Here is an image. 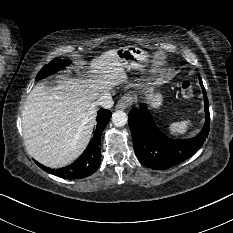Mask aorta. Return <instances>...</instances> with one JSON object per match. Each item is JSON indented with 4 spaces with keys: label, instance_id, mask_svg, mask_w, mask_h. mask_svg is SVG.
<instances>
[{
    "label": "aorta",
    "instance_id": "obj_1",
    "mask_svg": "<svg viewBox=\"0 0 233 233\" xmlns=\"http://www.w3.org/2000/svg\"><path fill=\"white\" fill-rule=\"evenodd\" d=\"M112 122L116 127H123L128 121L127 114L122 110H117L112 114Z\"/></svg>",
    "mask_w": 233,
    "mask_h": 233
}]
</instances>
